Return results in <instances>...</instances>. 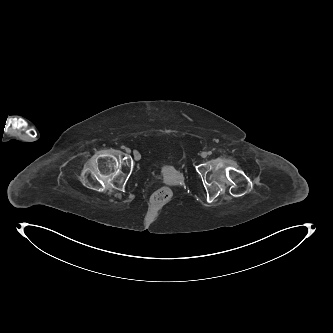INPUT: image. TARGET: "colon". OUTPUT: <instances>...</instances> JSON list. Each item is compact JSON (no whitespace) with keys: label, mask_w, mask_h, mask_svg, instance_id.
Here are the masks:
<instances>
[{"label":"colon","mask_w":333,"mask_h":333,"mask_svg":"<svg viewBox=\"0 0 333 333\" xmlns=\"http://www.w3.org/2000/svg\"><path fill=\"white\" fill-rule=\"evenodd\" d=\"M172 197V190L168 187H162L152 194L150 204L155 209H161L171 201Z\"/></svg>","instance_id":"5ec220e1"}]
</instances>
